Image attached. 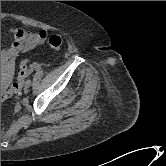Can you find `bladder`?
I'll return each instance as SVG.
<instances>
[{"label":"bladder","instance_id":"bladder-1","mask_svg":"<svg viewBox=\"0 0 166 166\" xmlns=\"http://www.w3.org/2000/svg\"><path fill=\"white\" fill-rule=\"evenodd\" d=\"M7 84L8 83L1 81V90H3L4 88H6Z\"/></svg>","mask_w":166,"mask_h":166}]
</instances>
